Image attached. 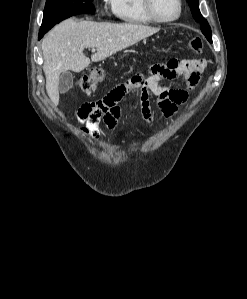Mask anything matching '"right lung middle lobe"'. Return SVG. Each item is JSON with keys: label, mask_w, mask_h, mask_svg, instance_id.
I'll return each mask as SVG.
<instances>
[{"label": "right lung middle lobe", "mask_w": 247, "mask_h": 299, "mask_svg": "<svg viewBox=\"0 0 247 299\" xmlns=\"http://www.w3.org/2000/svg\"><path fill=\"white\" fill-rule=\"evenodd\" d=\"M93 0H47L39 38L55 24L77 14H94Z\"/></svg>", "instance_id": "obj_1"}]
</instances>
